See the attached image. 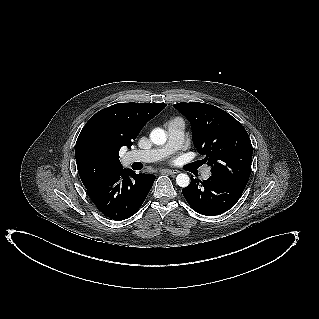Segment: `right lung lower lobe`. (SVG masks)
<instances>
[{
	"label": "right lung lower lobe",
	"instance_id": "obj_1",
	"mask_svg": "<svg viewBox=\"0 0 319 319\" xmlns=\"http://www.w3.org/2000/svg\"><path fill=\"white\" fill-rule=\"evenodd\" d=\"M154 180V175L136 174L131 169L121 170L87 188V192L105 216L123 220L139 210Z\"/></svg>",
	"mask_w": 319,
	"mask_h": 319
}]
</instances>
